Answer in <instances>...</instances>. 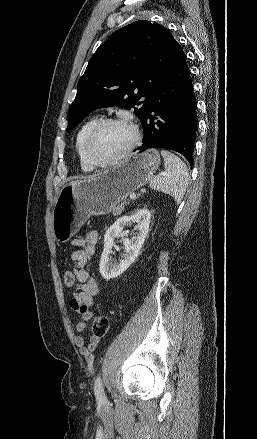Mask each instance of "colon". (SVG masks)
Segmentation results:
<instances>
[{
  "instance_id": "obj_1",
  "label": "colon",
  "mask_w": 257,
  "mask_h": 439,
  "mask_svg": "<svg viewBox=\"0 0 257 439\" xmlns=\"http://www.w3.org/2000/svg\"><path fill=\"white\" fill-rule=\"evenodd\" d=\"M64 284L72 287L75 284V276L72 271H66L63 275ZM92 331L98 337L105 336L109 331L108 318L102 315H95L92 317Z\"/></svg>"
}]
</instances>
